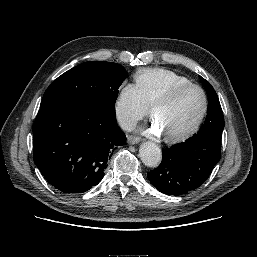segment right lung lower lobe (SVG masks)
<instances>
[{"label":"right lung lower lobe","mask_w":257,"mask_h":257,"mask_svg":"<svg viewBox=\"0 0 257 257\" xmlns=\"http://www.w3.org/2000/svg\"><path fill=\"white\" fill-rule=\"evenodd\" d=\"M33 138L36 166L64 193H82L97 185L113 151L126 142L114 111L84 101L40 108Z\"/></svg>","instance_id":"obj_1"}]
</instances>
